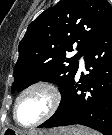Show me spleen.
Masks as SVG:
<instances>
[{
  "instance_id": "obj_1",
  "label": "spleen",
  "mask_w": 112,
  "mask_h": 135,
  "mask_svg": "<svg viewBox=\"0 0 112 135\" xmlns=\"http://www.w3.org/2000/svg\"><path fill=\"white\" fill-rule=\"evenodd\" d=\"M82 135H100L99 133L97 132H88V131H83V134Z\"/></svg>"
}]
</instances>
